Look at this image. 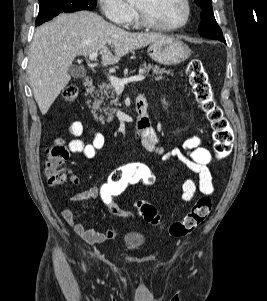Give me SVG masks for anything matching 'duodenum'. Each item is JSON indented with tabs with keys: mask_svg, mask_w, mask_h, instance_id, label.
<instances>
[{
	"mask_svg": "<svg viewBox=\"0 0 267 301\" xmlns=\"http://www.w3.org/2000/svg\"><path fill=\"white\" fill-rule=\"evenodd\" d=\"M83 87L87 93H92L93 82L89 79L84 80ZM148 102L144 94H139L135 100V110H136V123H135V136H138L143 130L150 128L151 120L148 114Z\"/></svg>",
	"mask_w": 267,
	"mask_h": 301,
	"instance_id": "410a0bca",
	"label": "duodenum"
}]
</instances>
